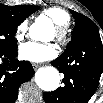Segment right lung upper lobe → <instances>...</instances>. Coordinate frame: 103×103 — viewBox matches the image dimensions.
Listing matches in <instances>:
<instances>
[{
    "label": "right lung upper lobe",
    "mask_w": 103,
    "mask_h": 103,
    "mask_svg": "<svg viewBox=\"0 0 103 103\" xmlns=\"http://www.w3.org/2000/svg\"><path fill=\"white\" fill-rule=\"evenodd\" d=\"M5 9L15 15H31L30 10L32 6L30 5H16V6H6L2 5Z\"/></svg>",
    "instance_id": "1"
}]
</instances>
